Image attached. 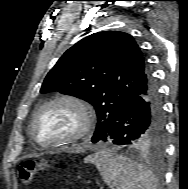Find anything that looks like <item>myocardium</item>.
Segmentation results:
<instances>
[{"label": "myocardium", "instance_id": "1", "mask_svg": "<svg viewBox=\"0 0 188 189\" xmlns=\"http://www.w3.org/2000/svg\"><path fill=\"white\" fill-rule=\"evenodd\" d=\"M57 105H68L73 107L77 111L80 118L79 127L69 137L50 142H43L39 140L36 136L35 130H36L37 121L41 116V114L46 109ZM94 123H95V115L93 109L84 99L72 94H60L49 99L38 108L31 122L30 134L32 139L42 147L48 148V147L65 146L77 142L83 139L84 137H86L93 129Z\"/></svg>", "mask_w": 188, "mask_h": 189}]
</instances>
